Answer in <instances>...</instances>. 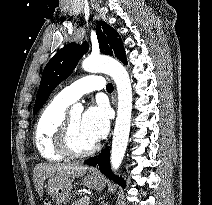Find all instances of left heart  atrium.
Returning <instances> with one entry per match:
<instances>
[{"mask_svg": "<svg viewBox=\"0 0 212 205\" xmlns=\"http://www.w3.org/2000/svg\"><path fill=\"white\" fill-rule=\"evenodd\" d=\"M82 125L94 142L101 140L109 130L110 116L108 108L103 104L90 106L82 115Z\"/></svg>", "mask_w": 212, "mask_h": 205, "instance_id": "39dd6f15", "label": "left heart atrium"}]
</instances>
